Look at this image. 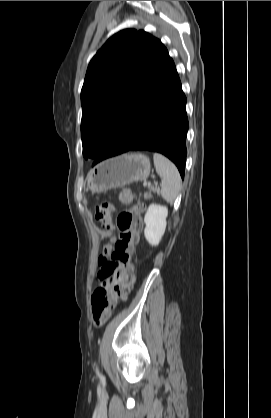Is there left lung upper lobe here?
<instances>
[{
  "label": "left lung upper lobe",
  "instance_id": "left-lung-upper-lobe-1",
  "mask_svg": "<svg viewBox=\"0 0 271 418\" xmlns=\"http://www.w3.org/2000/svg\"><path fill=\"white\" fill-rule=\"evenodd\" d=\"M169 59L159 39L135 29L113 35L97 52L81 90L85 159L99 156Z\"/></svg>",
  "mask_w": 271,
  "mask_h": 418
}]
</instances>
